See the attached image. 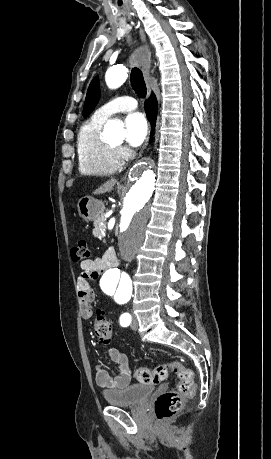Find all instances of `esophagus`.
Here are the masks:
<instances>
[{
    "mask_svg": "<svg viewBox=\"0 0 271 459\" xmlns=\"http://www.w3.org/2000/svg\"><path fill=\"white\" fill-rule=\"evenodd\" d=\"M135 39L137 41H141V43H144V41H145V33H144V31H143V29L141 27L138 28L135 31ZM136 55L138 56L139 60H138V62L135 60L133 63L135 65H137L138 69H142L143 70V75H144L145 80L147 82V96L149 97V95L151 93V87H150V85L148 83V77H149L150 69L152 67V62H151V60H142L143 56L141 55L140 51H137ZM149 136H150V127H149V130H148V135H147V137L145 139V143L143 145V148L139 153V157L142 156L144 150L147 147V144H148V141H149Z\"/></svg>",
    "mask_w": 271,
    "mask_h": 459,
    "instance_id": "obj_1",
    "label": "esophagus"
}]
</instances>
